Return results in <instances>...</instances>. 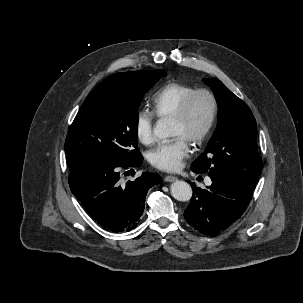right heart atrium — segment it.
Instances as JSON below:
<instances>
[{"label":"right heart atrium","mask_w":303,"mask_h":303,"mask_svg":"<svg viewBox=\"0 0 303 303\" xmlns=\"http://www.w3.org/2000/svg\"><path fill=\"white\" fill-rule=\"evenodd\" d=\"M134 129L141 143L150 145L154 141V122L150 113L139 112L135 118Z\"/></svg>","instance_id":"right-heart-atrium-1"}]
</instances>
